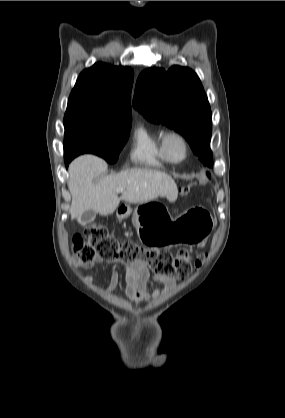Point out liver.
Here are the masks:
<instances>
[{
    "label": "liver",
    "instance_id": "1",
    "mask_svg": "<svg viewBox=\"0 0 285 418\" xmlns=\"http://www.w3.org/2000/svg\"><path fill=\"white\" fill-rule=\"evenodd\" d=\"M107 163L94 155H83L69 166L68 187L72 195L71 218L80 221L87 210L100 215H110L121 200L128 203H146L157 197H166L173 202L178 189L173 178L158 170L134 168L115 175H107L99 182L94 178L106 171ZM123 188L121 197L117 189Z\"/></svg>",
    "mask_w": 285,
    "mask_h": 418
}]
</instances>
